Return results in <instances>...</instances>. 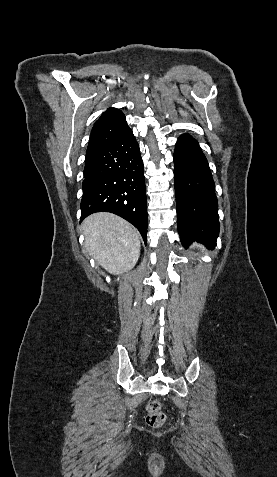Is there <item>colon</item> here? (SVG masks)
<instances>
[{
    "label": "colon",
    "mask_w": 277,
    "mask_h": 477,
    "mask_svg": "<svg viewBox=\"0 0 277 477\" xmlns=\"http://www.w3.org/2000/svg\"><path fill=\"white\" fill-rule=\"evenodd\" d=\"M146 423L153 428L161 427L166 419L162 411V404L158 400L150 401L146 406Z\"/></svg>",
    "instance_id": "5ec220e1"
}]
</instances>
